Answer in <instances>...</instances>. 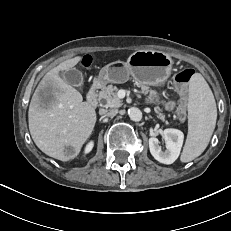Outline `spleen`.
<instances>
[{"label":"spleen","mask_w":231,"mask_h":231,"mask_svg":"<svg viewBox=\"0 0 231 231\" xmlns=\"http://www.w3.org/2000/svg\"><path fill=\"white\" fill-rule=\"evenodd\" d=\"M217 108L213 93L200 73H195L189 84L188 135L181 154L182 162L200 156L215 129Z\"/></svg>","instance_id":"3e777b00"}]
</instances>
